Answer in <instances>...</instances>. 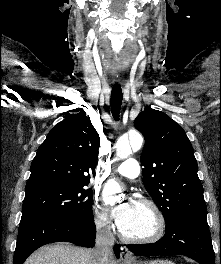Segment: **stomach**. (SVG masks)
Here are the masks:
<instances>
[{
  "label": "stomach",
  "mask_w": 221,
  "mask_h": 264,
  "mask_svg": "<svg viewBox=\"0 0 221 264\" xmlns=\"http://www.w3.org/2000/svg\"><path fill=\"white\" fill-rule=\"evenodd\" d=\"M136 264H174V262L168 260H152L146 262H138Z\"/></svg>",
  "instance_id": "obj_1"
}]
</instances>
